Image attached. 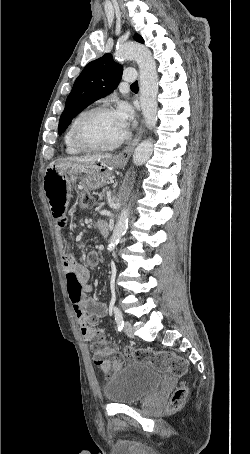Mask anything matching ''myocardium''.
I'll list each match as a JSON object with an SVG mask.
<instances>
[{
    "label": "myocardium",
    "mask_w": 250,
    "mask_h": 454,
    "mask_svg": "<svg viewBox=\"0 0 250 454\" xmlns=\"http://www.w3.org/2000/svg\"><path fill=\"white\" fill-rule=\"evenodd\" d=\"M108 111H114V110L111 106H108V105H98V106H95L93 108H90V109L84 111L83 113H81L79 115V117L77 118V120L73 126L72 135H71L72 142L77 148H79L82 151H87V152L110 151V150L118 148L125 141H127L129 139L130 134L128 131H126L125 134L121 138H119L115 142L108 144V145H101V146L100 145H89L81 140L79 132H80V128H81L82 124L84 123V121L95 113L108 112Z\"/></svg>",
    "instance_id": "obj_1"
}]
</instances>
